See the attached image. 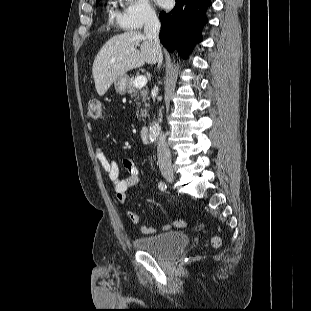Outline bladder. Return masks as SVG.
<instances>
[{
	"label": "bladder",
	"instance_id": "bladder-1",
	"mask_svg": "<svg viewBox=\"0 0 311 311\" xmlns=\"http://www.w3.org/2000/svg\"><path fill=\"white\" fill-rule=\"evenodd\" d=\"M187 234L179 231H170L151 236H138L133 239L136 249L149 252L161 259H168L188 245Z\"/></svg>",
	"mask_w": 311,
	"mask_h": 311
}]
</instances>
